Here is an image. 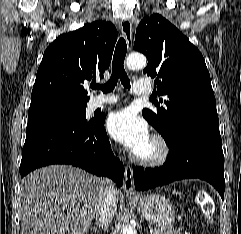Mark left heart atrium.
Returning a JSON list of instances; mask_svg holds the SVG:
<instances>
[{"instance_id":"1","label":"left heart atrium","mask_w":241,"mask_h":234,"mask_svg":"<svg viewBox=\"0 0 241 234\" xmlns=\"http://www.w3.org/2000/svg\"><path fill=\"white\" fill-rule=\"evenodd\" d=\"M106 126L111 137L126 146L134 154L140 153L150 141L146 121L131 109H123L112 113Z\"/></svg>"}]
</instances>
